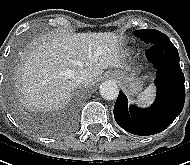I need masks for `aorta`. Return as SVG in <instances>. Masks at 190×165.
Here are the masks:
<instances>
[{"instance_id":"762f6f07","label":"aorta","mask_w":190,"mask_h":165,"mask_svg":"<svg viewBox=\"0 0 190 165\" xmlns=\"http://www.w3.org/2000/svg\"><path fill=\"white\" fill-rule=\"evenodd\" d=\"M118 94L119 89L114 81L107 80L100 86V95L106 100H114Z\"/></svg>"}]
</instances>
